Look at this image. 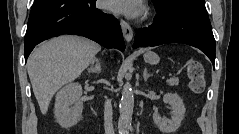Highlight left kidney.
<instances>
[{"label": "left kidney", "mask_w": 239, "mask_h": 134, "mask_svg": "<svg viewBox=\"0 0 239 134\" xmlns=\"http://www.w3.org/2000/svg\"><path fill=\"white\" fill-rule=\"evenodd\" d=\"M163 101L172 106L171 119L161 118L158 112H154L153 120L161 132L171 134L180 127L186 109L183 100L177 94L167 93Z\"/></svg>", "instance_id": "obj_1"}]
</instances>
